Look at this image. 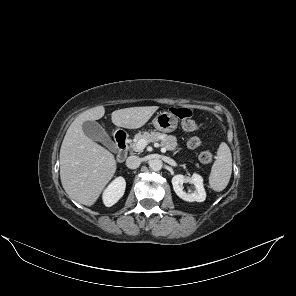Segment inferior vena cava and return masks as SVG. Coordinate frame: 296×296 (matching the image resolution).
Returning <instances> with one entry per match:
<instances>
[{"mask_svg": "<svg viewBox=\"0 0 296 296\" xmlns=\"http://www.w3.org/2000/svg\"><path fill=\"white\" fill-rule=\"evenodd\" d=\"M141 162L140 157L132 155L126 159V166L130 169H136L140 166Z\"/></svg>", "mask_w": 296, "mask_h": 296, "instance_id": "602c4592", "label": "inferior vena cava"}]
</instances>
